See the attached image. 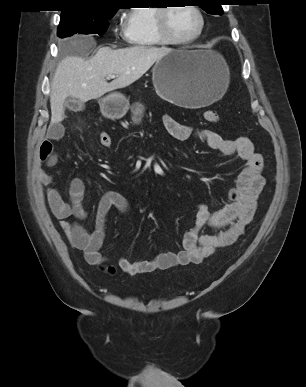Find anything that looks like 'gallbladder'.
Instances as JSON below:
<instances>
[{
    "label": "gallbladder",
    "mask_w": 306,
    "mask_h": 387,
    "mask_svg": "<svg viewBox=\"0 0 306 387\" xmlns=\"http://www.w3.org/2000/svg\"><path fill=\"white\" fill-rule=\"evenodd\" d=\"M77 104H78L77 99L72 98V97L66 98V100L64 102V106L69 108V109H71V110H76V105Z\"/></svg>",
    "instance_id": "bac80fb5"
}]
</instances>
